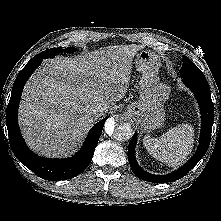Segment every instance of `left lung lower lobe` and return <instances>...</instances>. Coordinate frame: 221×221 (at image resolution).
<instances>
[{"instance_id":"0a47b994","label":"left lung lower lobe","mask_w":221,"mask_h":221,"mask_svg":"<svg viewBox=\"0 0 221 221\" xmlns=\"http://www.w3.org/2000/svg\"><path fill=\"white\" fill-rule=\"evenodd\" d=\"M182 78L184 84L189 87L196 96L201 111L202 125L198 150L192 156V158L178 170L168 175H153L144 171L136 161L135 146L137 141V134L135 133L129 143L128 161L134 174L142 180L153 183H167L179 180L185 176L199 162V160H201L209 147L214 120V105L211 100V94L207 80L205 77Z\"/></svg>"}]
</instances>
